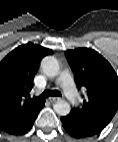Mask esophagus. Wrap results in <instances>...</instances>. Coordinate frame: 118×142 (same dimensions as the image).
<instances>
[{
	"label": "esophagus",
	"mask_w": 118,
	"mask_h": 142,
	"mask_svg": "<svg viewBox=\"0 0 118 142\" xmlns=\"http://www.w3.org/2000/svg\"><path fill=\"white\" fill-rule=\"evenodd\" d=\"M56 100H57L56 98H53V99H52V101H56Z\"/></svg>",
	"instance_id": "1"
}]
</instances>
